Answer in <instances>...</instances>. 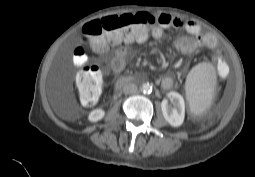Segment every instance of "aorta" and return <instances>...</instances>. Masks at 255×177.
Instances as JSON below:
<instances>
[{
    "label": "aorta",
    "mask_w": 255,
    "mask_h": 177,
    "mask_svg": "<svg viewBox=\"0 0 255 177\" xmlns=\"http://www.w3.org/2000/svg\"><path fill=\"white\" fill-rule=\"evenodd\" d=\"M141 91L143 93H151L152 92V85L149 83H143L141 85Z\"/></svg>",
    "instance_id": "obj_1"
}]
</instances>
